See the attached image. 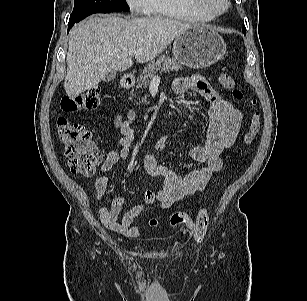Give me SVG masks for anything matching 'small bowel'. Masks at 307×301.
<instances>
[{
  "instance_id": "1",
  "label": "small bowel",
  "mask_w": 307,
  "mask_h": 301,
  "mask_svg": "<svg viewBox=\"0 0 307 301\" xmlns=\"http://www.w3.org/2000/svg\"><path fill=\"white\" fill-rule=\"evenodd\" d=\"M173 90L177 94L193 91L200 95L207 107L209 125L206 140L189 150V157L205 165L180 177L163 165L157 157V152L165 148L167 136H163L156 143L155 151L147 152L144 156V165L150 176L162 180L158 190H147L143 201L133 205L119 217L124 204L121 194L115 195L109 206L102 207L99 212L101 222L110 230L129 238H136L140 234V227L135 219L145 208L153 203H159L162 209H168L176 201L204 190L211 176L222 168L221 155L235 141L240 129L243 114L231 102L223 99L208 81L199 75L179 77L173 83ZM137 114L128 110L117 115L111 125L112 130L122 134L115 149L109 150L101 164L100 170L106 173L118 162L129 156L130 146L134 135L131 124ZM108 178L104 175L95 179V190L99 199H104L107 193Z\"/></svg>"
}]
</instances>
